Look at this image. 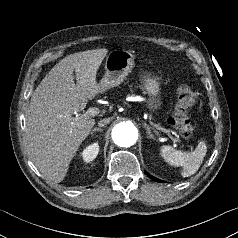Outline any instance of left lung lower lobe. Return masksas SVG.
Returning <instances> with one entry per match:
<instances>
[{
    "label": "left lung lower lobe",
    "mask_w": 238,
    "mask_h": 238,
    "mask_svg": "<svg viewBox=\"0 0 238 238\" xmlns=\"http://www.w3.org/2000/svg\"><path fill=\"white\" fill-rule=\"evenodd\" d=\"M152 180H154V181H157V182H162L161 180H159V179H156V178H154V177H152V176H150V175H148Z\"/></svg>",
    "instance_id": "0a47b994"
}]
</instances>
